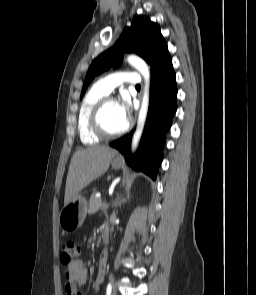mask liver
<instances>
[{"label": "liver", "mask_w": 256, "mask_h": 295, "mask_svg": "<svg viewBox=\"0 0 256 295\" xmlns=\"http://www.w3.org/2000/svg\"><path fill=\"white\" fill-rule=\"evenodd\" d=\"M116 154L117 151L108 146H92L77 150L69 165L64 205L73 200L91 182L105 174Z\"/></svg>", "instance_id": "obj_1"}]
</instances>
